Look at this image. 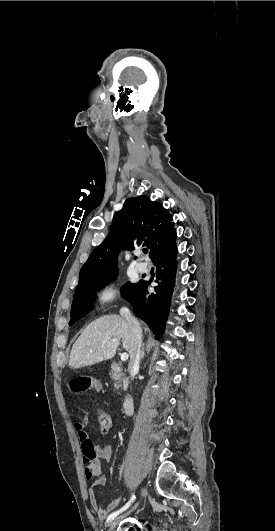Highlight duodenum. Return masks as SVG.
I'll return each mask as SVG.
<instances>
[{
    "label": "duodenum",
    "instance_id": "obj_1",
    "mask_svg": "<svg viewBox=\"0 0 275 531\" xmlns=\"http://www.w3.org/2000/svg\"><path fill=\"white\" fill-rule=\"evenodd\" d=\"M111 370L115 373H120L122 371V368L121 366L116 363V362H112L111 363ZM132 409H133V396L130 394V393H127L125 399H124V402L122 404V410H123V413L124 414H129L132 412Z\"/></svg>",
    "mask_w": 275,
    "mask_h": 531
}]
</instances>
